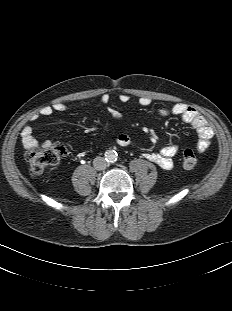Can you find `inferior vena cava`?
I'll return each instance as SVG.
<instances>
[{"instance_id": "inferior-vena-cava-1", "label": "inferior vena cava", "mask_w": 232, "mask_h": 311, "mask_svg": "<svg viewBox=\"0 0 232 311\" xmlns=\"http://www.w3.org/2000/svg\"><path fill=\"white\" fill-rule=\"evenodd\" d=\"M93 166L96 170H104L107 167V162L103 157H96L93 160Z\"/></svg>"}]
</instances>
